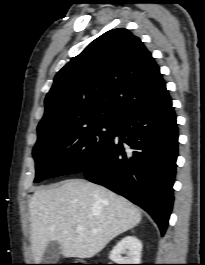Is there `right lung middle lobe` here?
Segmentation results:
<instances>
[{
    "instance_id": "right-lung-middle-lobe-1",
    "label": "right lung middle lobe",
    "mask_w": 205,
    "mask_h": 265,
    "mask_svg": "<svg viewBox=\"0 0 205 265\" xmlns=\"http://www.w3.org/2000/svg\"><path fill=\"white\" fill-rule=\"evenodd\" d=\"M115 128V122L97 121L63 131H38L33 148L34 182L81 172L110 142Z\"/></svg>"
}]
</instances>
